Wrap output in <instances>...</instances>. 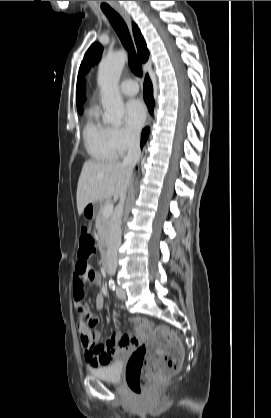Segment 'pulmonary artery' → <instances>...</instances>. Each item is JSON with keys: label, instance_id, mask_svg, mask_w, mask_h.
<instances>
[{"label": "pulmonary artery", "instance_id": "e3ab8cb5", "mask_svg": "<svg viewBox=\"0 0 271 418\" xmlns=\"http://www.w3.org/2000/svg\"><path fill=\"white\" fill-rule=\"evenodd\" d=\"M120 90L125 96H134L138 93L139 87L136 81L132 79H126L121 82Z\"/></svg>", "mask_w": 271, "mask_h": 418}]
</instances>
